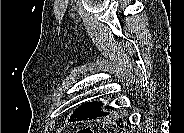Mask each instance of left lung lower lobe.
Listing matches in <instances>:
<instances>
[{"label":"left lung lower lobe","mask_w":184,"mask_h":133,"mask_svg":"<svg viewBox=\"0 0 184 133\" xmlns=\"http://www.w3.org/2000/svg\"><path fill=\"white\" fill-rule=\"evenodd\" d=\"M102 106L103 103L101 101L86 102L74 110L69 121L92 120L98 117L110 115L114 112L112 107L108 106L107 108H102ZM124 121L125 120L123 119H119L117 124L123 123ZM120 126L122 127V125Z\"/></svg>","instance_id":"obj_1"}]
</instances>
